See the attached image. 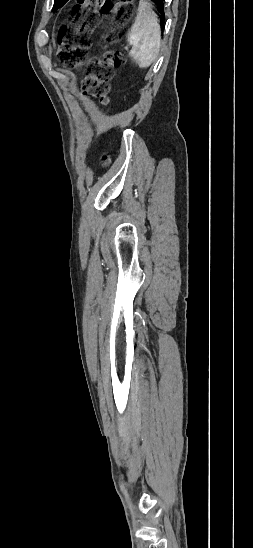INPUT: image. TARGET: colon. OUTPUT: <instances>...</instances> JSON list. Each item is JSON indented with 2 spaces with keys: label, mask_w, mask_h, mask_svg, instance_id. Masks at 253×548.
<instances>
[{
  "label": "colon",
  "mask_w": 253,
  "mask_h": 548,
  "mask_svg": "<svg viewBox=\"0 0 253 548\" xmlns=\"http://www.w3.org/2000/svg\"><path fill=\"white\" fill-rule=\"evenodd\" d=\"M134 11L132 0H77L72 11V25H64L58 33L57 56L69 68H85L86 76L81 83L84 96L93 97L106 103L110 91V81L116 68L124 63L118 52L108 50L102 56L89 58L91 32L98 23V13H113L121 23L127 22ZM119 28H113L105 37L107 43L120 39ZM109 159L103 156V162Z\"/></svg>",
  "instance_id": "colon-1"
}]
</instances>
